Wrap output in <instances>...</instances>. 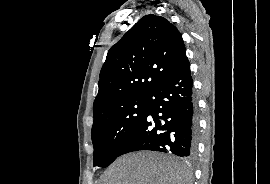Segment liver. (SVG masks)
I'll use <instances>...</instances> for the list:
<instances>
[{
	"label": "liver",
	"mask_w": 270,
	"mask_h": 184,
	"mask_svg": "<svg viewBox=\"0 0 270 184\" xmlns=\"http://www.w3.org/2000/svg\"><path fill=\"white\" fill-rule=\"evenodd\" d=\"M190 178L185 164L156 153L137 152L116 159L99 184H190Z\"/></svg>",
	"instance_id": "obj_1"
}]
</instances>
